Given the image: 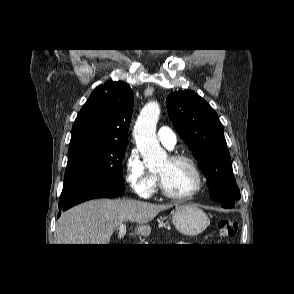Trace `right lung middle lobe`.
<instances>
[{
	"mask_svg": "<svg viewBox=\"0 0 294 294\" xmlns=\"http://www.w3.org/2000/svg\"><path fill=\"white\" fill-rule=\"evenodd\" d=\"M126 147L92 142L70 145L62 192L86 184L124 186L121 160Z\"/></svg>",
	"mask_w": 294,
	"mask_h": 294,
	"instance_id": "right-lung-middle-lobe-1",
	"label": "right lung middle lobe"
}]
</instances>
